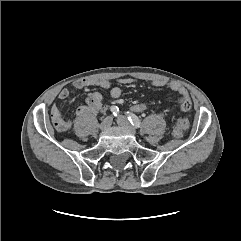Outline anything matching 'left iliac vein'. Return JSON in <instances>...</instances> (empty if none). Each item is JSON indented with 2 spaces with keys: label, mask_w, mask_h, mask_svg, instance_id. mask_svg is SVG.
Wrapping results in <instances>:
<instances>
[{
  "label": "left iliac vein",
  "mask_w": 241,
  "mask_h": 241,
  "mask_svg": "<svg viewBox=\"0 0 241 241\" xmlns=\"http://www.w3.org/2000/svg\"><path fill=\"white\" fill-rule=\"evenodd\" d=\"M116 121L120 126L129 130L132 134H136L135 128L130 124V122L128 121V119L126 117L118 116Z\"/></svg>",
  "instance_id": "left-iliac-vein-1"
}]
</instances>
